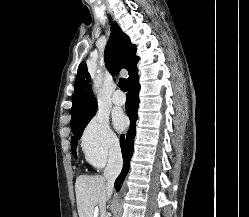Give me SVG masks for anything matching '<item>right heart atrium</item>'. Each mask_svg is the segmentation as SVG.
Listing matches in <instances>:
<instances>
[{
    "label": "right heart atrium",
    "mask_w": 249,
    "mask_h": 217,
    "mask_svg": "<svg viewBox=\"0 0 249 217\" xmlns=\"http://www.w3.org/2000/svg\"><path fill=\"white\" fill-rule=\"evenodd\" d=\"M86 161L101 168L118 149V140L110 128L107 117L96 114L85 126L80 140Z\"/></svg>",
    "instance_id": "right-heart-atrium-1"
}]
</instances>
